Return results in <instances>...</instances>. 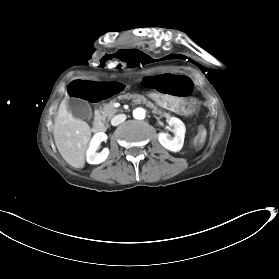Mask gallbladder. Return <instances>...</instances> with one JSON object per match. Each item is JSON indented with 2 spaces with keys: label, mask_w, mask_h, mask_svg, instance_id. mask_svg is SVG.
I'll return each mask as SVG.
<instances>
[{
  "label": "gallbladder",
  "mask_w": 279,
  "mask_h": 279,
  "mask_svg": "<svg viewBox=\"0 0 279 279\" xmlns=\"http://www.w3.org/2000/svg\"><path fill=\"white\" fill-rule=\"evenodd\" d=\"M68 111L71 112L73 117L79 119H87L91 115L90 107L82 100L73 101L70 99L68 102Z\"/></svg>",
  "instance_id": "1"
}]
</instances>
